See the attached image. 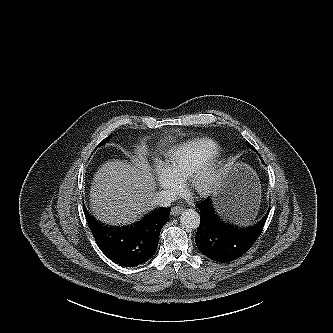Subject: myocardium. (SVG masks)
I'll use <instances>...</instances> for the list:
<instances>
[{
    "mask_svg": "<svg viewBox=\"0 0 333 333\" xmlns=\"http://www.w3.org/2000/svg\"><path fill=\"white\" fill-rule=\"evenodd\" d=\"M223 172L214 160L203 163L188 177L187 186L194 193L205 196L212 193L222 182Z\"/></svg>",
    "mask_w": 333,
    "mask_h": 333,
    "instance_id": "f54148a6",
    "label": "myocardium"
}]
</instances>
